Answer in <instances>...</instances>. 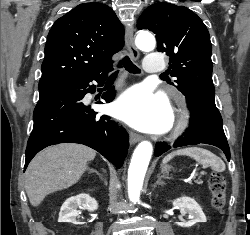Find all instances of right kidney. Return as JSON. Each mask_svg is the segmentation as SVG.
I'll return each instance as SVG.
<instances>
[{
	"instance_id": "ca27d5eb",
	"label": "right kidney",
	"mask_w": 250,
	"mask_h": 235,
	"mask_svg": "<svg viewBox=\"0 0 250 235\" xmlns=\"http://www.w3.org/2000/svg\"><path fill=\"white\" fill-rule=\"evenodd\" d=\"M78 208L93 212L98 209L97 201L88 194H79L68 198L61 206L58 222H69L76 224Z\"/></svg>"
}]
</instances>
